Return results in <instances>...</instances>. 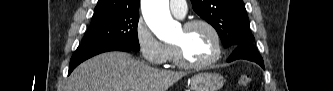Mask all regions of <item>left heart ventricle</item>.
I'll list each match as a JSON object with an SVG mask.
<instances>
[{"mask_svg": "<svg viewBox=\"0 0 333 91\" xmlns=\"http://www.w3.org/2000/svg\"><path fill=\"white\" fill-rule=\"evenodd\" d=\"M174 44L179 45L185 57L192 62L208 60L215 52L213 36L202 26H197L191 30L181 28Z\"/></svg>", "mask_w": 333, "mask_h": 91, "instance_id": "left-heart-ventricle-1", "label": "left heart ventricle"}]
</instances>
